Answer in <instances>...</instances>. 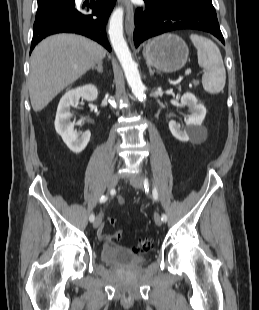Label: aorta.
Returning <instances> with one entry per match:
<instances>
[{
	"label": "aorta",
	"mask_w": 259,
	"mask_h": 310,
	"mask_svg": "<svg viewBox=\"0 0 259 310\" xmlns=\"http://www.w3.org/2000/svg\"><path fill=\"white\" fill-rule=\"evenodd\" d=\"M123 9L117 8L109 21V38L115 54L124 70L125 77L132 93L139 99H145V86L143 85L136 63L123 37Z\"/></svg>",
	"instance_id": "obj_1"
}]
</instances>
